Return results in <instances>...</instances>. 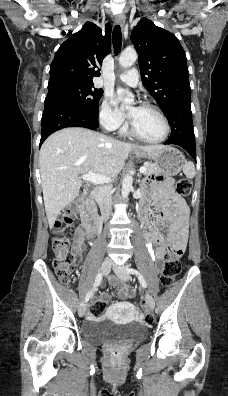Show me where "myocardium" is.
Listing matches in <instances>:
<instances>
[{
  "label": "myocardium",
  "instance_id": "obj_1",
  "mask_svg": "<svg viewBox=\"0 0 228 396\" xmlns=\"http://www.w3.org/2000/svg\"><path fill=\"white\" fill-rule=\"evenodd\" d=\"M141 107L152 110L160 117V119L162 120L163 126H164V133L158 139H155V140L147 139V138L143 137L142 135H140L137 132V130L134 128L133 124L131 123L130 127H129V131H130L131 135L134 136L136 139H138L142 142L148 143V144H159V143L166 141L170 134V125H169L168 119L165 116V114L157 106L150 104V103H143V104H141Z\"/></svg>",
  "mask_w": 228,
  "mask_h": 396
}]
</instances>
